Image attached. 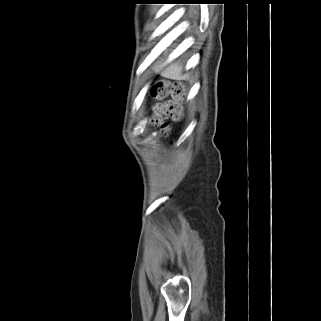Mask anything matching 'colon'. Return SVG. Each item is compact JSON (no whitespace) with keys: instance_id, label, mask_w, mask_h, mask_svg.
I'll list each match as a JSON object with an SVG mask.
<instances>
[{"instance_id":"obj_1","label":"colon","mask_w":321,"mask_h":321,"mask_svg":"<svg viewBox=\"0 0 321 321\" xmlns=\"http://www.w3.org/2000/svg\"><path fill=\"white\" fill-rule=\"evenodd\" d=\"M186 84L177 83L174 85H169L166 83H158L154 86L152 90L153 97L163 98L170 94L172 100L160 105L157 110V118L155 122L161 125V127L166 128L165 121L170 117L174 120H178L182 114L181 101L186 94Z\"/></svg>"}]
</instances>
